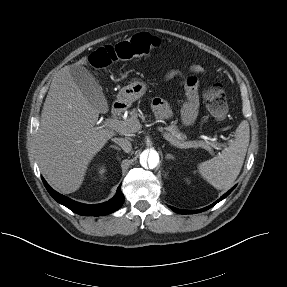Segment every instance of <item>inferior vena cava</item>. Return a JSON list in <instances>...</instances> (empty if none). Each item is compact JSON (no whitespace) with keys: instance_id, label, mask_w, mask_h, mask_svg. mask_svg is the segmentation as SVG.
I'll return each mask as SVG.
<instances>
[{"instance_id":"inferior-vena-cava-1","label":"inferior vena cava","mask_w":287,"mask_h":287,"mask_svg":"<svg viewBox=\"0 0 287 287\" xmlns=\"http://www.w3.org/2000/svg\"><path fill=\"white\" fill-rule=\"evenodd\" d=\"M112 141L118 144L126 153H129L131 151L132 145L127 139L113 138Z\"/></svg>"}]
</instances>
